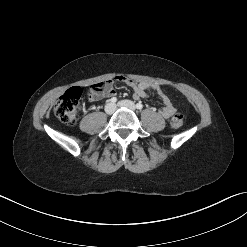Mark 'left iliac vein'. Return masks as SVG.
Instances as JSON below:
<instances>
[{"instance_id": "1", "label": "left iliac vein", "mask_w": 247, "mask_h": 247, "mask_svg": "<svg viewBox=\"0 0 247 247\" xmlns=\"http://www.w3.org/2000/svg\"><path fill=\"white\" fill-rule=\"evenodd\" d=\"M118 106L119 107H125V108H128V109L133 110V111L136 109L135 104L130 100H121L118 102Z\"/></svg>"}]
</instances>
